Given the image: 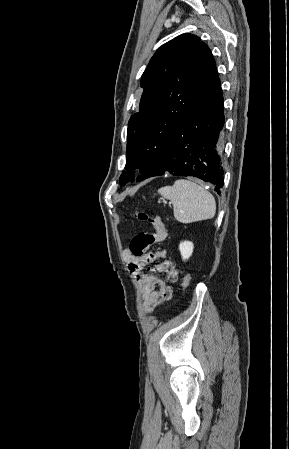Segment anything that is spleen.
Here are the masks:
<instances>
[{
    "label": "spleen",
    "mask_w": 289,
    "mask_h": 449,
    "mask_svg": "<svg viewBox=\"0 0 289 449\" xmlns=\"http://www.w3.org/2000/svg\"><path fill=\"white\" fill-rule=\"evenodd\" d=\"M158 193L173 204L174 217L181 223L213 218L216 202L213 195L189 180H176L173 186H165Z\"/></svg>",
    "instance_id": "3e777b00"
}]
</instances>
